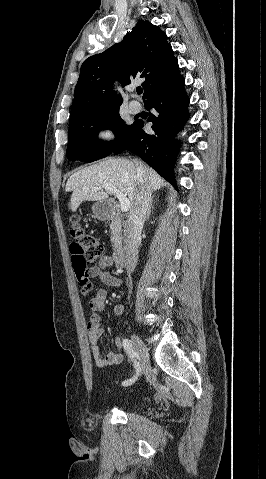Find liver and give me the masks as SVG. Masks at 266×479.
Masks as SVG:
<instances>
[{
  "label": "liver",
  "instance_id": "liver-1",
  "mask_svg": "<svg viewBox=\"0 0 266 479\" xmlns=\"http://www.w3.org/2000/svg\"><path fill=\"white\" fill-rule=\"evenodd\" d=\"M145 168L151 189H160L164 180L154 170ZM105 184L112 185L125 194L132 208L138 190L136 162L124 158H109L72 174L65 188L67 192H72V212H75L83 201H106L109 198L108 191L94 190V187Z\"/></svg>",
  "mask_w": 266,
  "mask_h": 479
}]
</instances>
